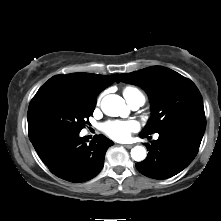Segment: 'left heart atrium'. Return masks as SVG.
Segmentation results:
<instances>
[{
  "mask_svg": "<svg viewBox=\"0 0 221 221\" xmlns=\"http://www.w3.org/2000/svg\"><path fill=\"white\" fill-rule=\"evenodd\" d=\"M138 123L134 120H116L109 121L102 125L105 134L114 140H127L130 134L138 129Z\"/></svg>",
  "mask_w": 221,
  "mask_h": 221,
  "instance_id": "39dd6f15",
  "label": "left heart atrium"
}]
</instances>
